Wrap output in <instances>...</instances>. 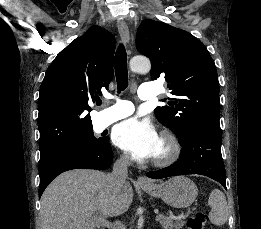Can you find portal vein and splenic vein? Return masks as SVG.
I'll use <instances>...</instances> for the list:
<instances>
[{"label":"portal vein and splenic vein","instance_id":"obj_1","mask_svg":"<svg viewBox=\"0 0 261 229\" xmlns=\"http://www.w3.org/2000/svg\"><path fill=\"white\" fill-rule=\"evenodd\" d=\"M158 217H163V215H158ZM182 217H183V215H180V217H172V219H182ZM154 222L160 223L161 219L155 218ZM98 223H100V227H108V229H110V227H112L111 223H109V221H106V219H99Z\"/></svg>","mask_w":261,"mask_h":229}]
</instances>
